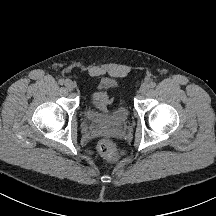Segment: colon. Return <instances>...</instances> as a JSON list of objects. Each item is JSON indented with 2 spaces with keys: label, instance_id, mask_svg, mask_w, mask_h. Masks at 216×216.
I'll return each instance as SVG.
<instances>
[{
  "label": "colon",
  "instance_id": "obj_1",
  "mask_svg": "<svg viewBox=\"0 0 216 216\" xmlns=\"http://www.w3.org/2000/svg\"><path fill=\"white\" fill-rule=\"evenodd\" d=\"M97 149L100 155L108 160H114L117 156V148L114 142L110 139H101L98 142Z\"/></svg>",
  "mask_w": 216,
  "mask_h": 216
}]
</instances>
